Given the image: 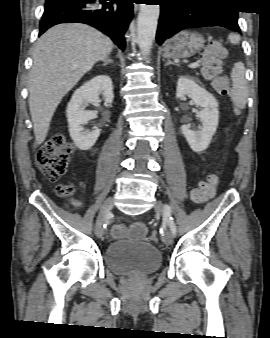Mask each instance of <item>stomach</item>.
<instances>
[{"label":"stomach","mask_w":270,"mask_h":338,"mask_svg":"<svg viewBox=\"0 0 270 338\" xmlns=\"http://www.w3.org/2000/svg\"><path fill=\"white\" fill-rule=\"evenodd\" d=\"M204 38L194 32L182 31L171 39L167 40L163 45V57L179 59L189 58L204 48Z\"/></svg>","instance_id":"obj_1"}]
</instances>
